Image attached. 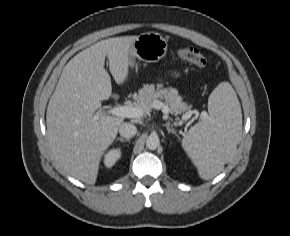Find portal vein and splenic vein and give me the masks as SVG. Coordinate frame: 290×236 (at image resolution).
<instances>
[{"mask_svg":"<svg viewBox=\"0 0 290 236\" xmlns=\"http://www.w3.org/2000/svg\"><path fill=\"white\" fill-rule=\"evenodd\" d=\"M152 108L156 110H161L165 117H167L168 113L170 112V109L167 105H165L163 102L160 100H155L152 104ZM145 111L142 107L138 106H116L113 108H110L107 111H98L94 115V119H98L101 115L103 114H111L113 116H119V117H124V118H139L144 115ZM192 112L186 113L182 119L187 120L190 118ZM203 117L205 114H202Z\"/></svg>","mask_w":290,"mask_h":236,"instance_id":"1","label":"portal vein and splenic vein"}]
</instances>
